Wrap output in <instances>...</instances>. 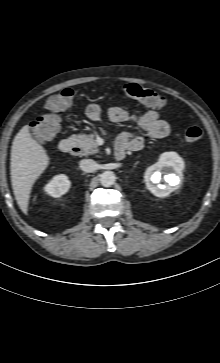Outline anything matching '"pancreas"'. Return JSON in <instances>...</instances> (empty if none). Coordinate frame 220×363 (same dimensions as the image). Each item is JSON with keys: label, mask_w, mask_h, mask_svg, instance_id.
I'll return each mask as SVG.
<instances>
[{"label": "pancreas", "mask_w": 220, "mask_h": 363, "mask_svg": "<svg viewBox=\"0 0 220 363\" xmlns=\"http://www.w3.org/2000/svg\"><path fill=\"white\" fill-rule=\"evenodd\" d=\"M75 138L82 148L84 155H92L99 151L93 134H80L75 136Z\"/></svg>", "instance_id": "1"}]
</instances>
